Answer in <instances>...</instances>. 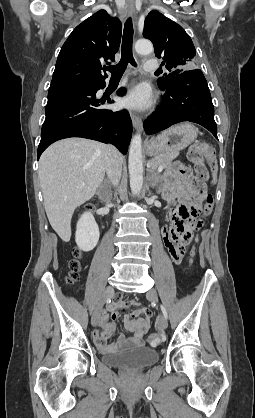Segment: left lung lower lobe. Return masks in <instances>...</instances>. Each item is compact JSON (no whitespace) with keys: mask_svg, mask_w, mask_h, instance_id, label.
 <instances>
[{"mask_svg":"<svg viewBox=\"0 0 255 418\" xmlns=\"http://www.w3.org/2000/svg\"><path fill=\"white\" fill-rule=\"evenodd\" d=\"M163 92L159 111L144 122L148 135L190 121L202 125L218 139L210 91L200 69L176 75Z\"/></svg>","mask_w":255,"mask_h":418,"instance_id":"obj_1","label":"left lung lower lobe"}]
</instances>
